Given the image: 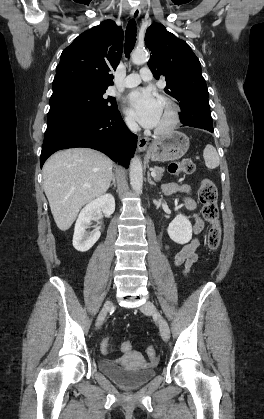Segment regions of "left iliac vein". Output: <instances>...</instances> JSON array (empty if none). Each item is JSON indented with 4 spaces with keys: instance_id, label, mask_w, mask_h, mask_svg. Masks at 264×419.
I'll list each match as a JSON object with an SVG mask.
<instances>
[{
    "instance_id": "obj_1",
    "label": "left iliac vein",
    "mask_w": 264,
    "mask_h": 419,
    "mask_svg": "<svg viewBox=\"0 0 264 419\" xmlns=\"http://www.w3.org/2000/svg\"><path fill=\"white\" fill-rule=\"evenodd\" d=\"M141 311L146 314H151L156 317L160 329L161 336L163 340L168 341L170 338V329L167 321L164 317L159 313L155 305L147 300L145 303L140 307Z\"/></svg>"
}]
</instances>
